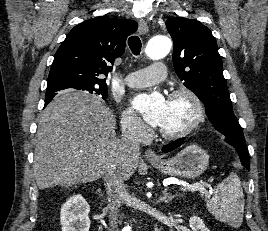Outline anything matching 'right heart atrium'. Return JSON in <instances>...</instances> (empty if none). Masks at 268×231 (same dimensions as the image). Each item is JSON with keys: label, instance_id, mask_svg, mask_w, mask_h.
<instances>
[{"label": "right heart atrium", "instance_id": "obj_1", "mask_svg": "<svg viewBox=\"0 0 268 231\" xmlns=\"http://www.w3.org/2000/svg\"><path fill=\"white\" fill-rule=\"evenodd\" d=\"M121 123L123 130L135 138H140L146 130L142 121L129 109H124L121 113Z\"/></svg>", "mask_w": 268, "mask_h": 231}]
</instances>
